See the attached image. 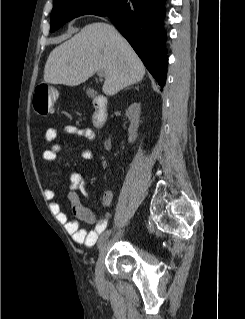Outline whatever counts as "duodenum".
Segmentation results:
<instances>
[{"label":"duodenum","mask_w":245,"mask_h":319,"mask_svg":"<svg viewBox=\"0 0 245 319\" xmlns=\"http://www.w3.org/2000/svg\"><path fill=\"white\" fill-rule=\"evenodd\" d=\"M94 113L92 116V124L95 128L101 129L105 126L108 116L107 99L98 95L93 100Z\"/></svg>","instance_id":"1"}]
</instances>
